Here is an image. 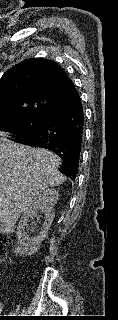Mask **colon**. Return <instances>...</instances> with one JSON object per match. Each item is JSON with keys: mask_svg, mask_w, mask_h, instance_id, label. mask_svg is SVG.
Wrapping results in <instances>:
<instances>
[{"mask_svg": "<svg viewBox=\"0 0 118 320\" xmlns=\"http://www.w3.org/2000/svg\"><path fill=\"white\" fill-rule=\"evenodd\" d=\"M11 245V239L8 236H0V261L7 255L8 248Z\"/></svg>", "mask_w": 118, "mask_h": 320, "instance_id": "colon-1", "label": "colon"}]
</instances>
